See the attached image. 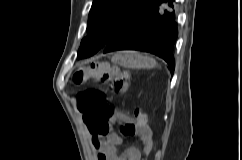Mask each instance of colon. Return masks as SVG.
Instances as JSON below:
<instances>
[{
    "mask_svg": "<svg viewBox=\"0 0 242 160\" xmlns=\"http://www.w3.org/2000/svg\"><path fill=\"white\" fill-rule=\"evenodd\" d=\"M90 79L108 83L112 92L120 93L127 87L128 74L107 62H94L88 66H79L73 77L76 84H82ZM77 105L83 112L86 126L93 134L104 135L108 131L109 122L116 111L108 103L103 92L99 90L82 91L78 96ZM136 114L141 115L140 112H136ZM134 132V128L128 129L129 135Z\"/></svg>",
    "mask_w": 242,
    "mask_h": 160,
    "instance_id": "5ec220e1",
    "label": "colon"
}]
</instances>
